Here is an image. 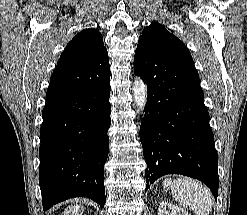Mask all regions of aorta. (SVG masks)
<instances>
[{"mask_svg": "<svg viewBox=\"0 0 247 215\" xmlns=\"http://www.w3.org/2000/svg\"><path fill=\"white\" fill-rule=\"evenodd\" d=\"M133 96L137 111L143 114L147 102V86L140 77H137L134 81Z\"/></svg>", "mask_w": 247, "mask_h": 215, "instance_id": "1", "label": "aorta"}]
</instances>
